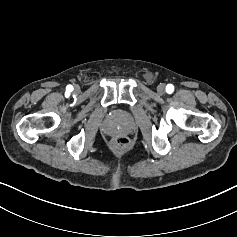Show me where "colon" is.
Segmentation results:
<instances>
[{
    "instance_id": "obj_1",
    "label": "colon",
    "mask_w": 237,
    "mask_h": 237,
    "mask_svg": "<svg viewBox=\"0 0 237 237\" xmlns=\"http://www.w3.org/2000/svg\"><path fill=\"white\" fill-rule=\"evenodd\" d=\"M112 146L117 151H125L129 148L130 141L127 137L120 136L113 140Z\"/></svg>"
}]
</instances>
